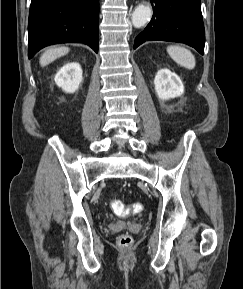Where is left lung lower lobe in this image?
Returning <instances> with one entry per match:
<instances>
[{
    "label": "left lung lower lobe",
    "mask_w": 243,
    "mask_h": 289,
    "mask_svg": "<svg viewBox=\"0 0 243 289\" xmlns=\"http://www.w3.org/2000/svg\"><path fill=\"white\" fill-rule=\"evenodd\" d=\"M150 23L134 42V49L147 40L186 43L204 54L205 31L200 0H151Z\"/></svg>",
    "instance_id": "left-lung-lower-lobe-1"
}]
</instances>
